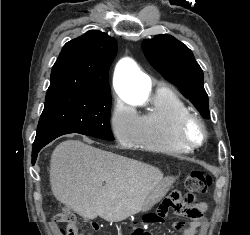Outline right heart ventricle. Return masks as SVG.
<instances>
[{
    "instance_id": "obj_1",
    "label": "right heart ventricle",
    "mask_w": 250,
    "mask_h": 235,
    "mask_svg": "<svg viewBox=\"0 0 250 235\" xmlns=\"http://www.w3.org/2000/svg\"><path fill=\"white\" fill-rule=\"evenodd\" d=\"M190 113L189 107L171 88L159 86L150 99L149 108L139 117L137 147L160 154L179 156L189 152L177 140L178 120Z\"/></svg>"
}]
</instances>
